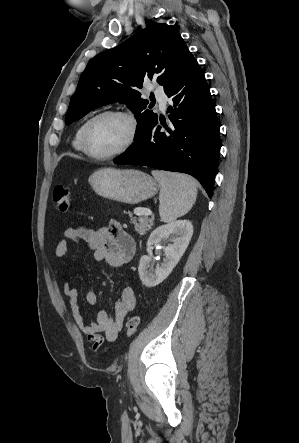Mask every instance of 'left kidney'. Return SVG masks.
I'll return each instance as SVG.
<instances>
[{"label": "left kidney", "instance_id": "left-kidney-1", "mask_svg": "<svg viewBox=\"0 0 299 443\" xmlns=\"http://www.w3.org/2000/svg\"><path fill=\"white\" fill-rule=\"evenodd\" d=\"M193 235V226L188 220H177L156 228L149 236L147 247L166 241L164 247L165 260L157 265L154 271L148 270L152 258L142 256L138 272L142 283L147 287H154L166 279L177 265L187 249Z\"/></svg>", "mask_w": 299, "mask_h": 443}]
</instances>
